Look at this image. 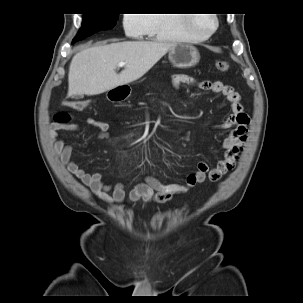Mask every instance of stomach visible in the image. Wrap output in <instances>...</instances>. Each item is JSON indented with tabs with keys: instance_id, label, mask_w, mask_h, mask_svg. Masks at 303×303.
<instances>
[{
	"instance_id": "obj_1",
	"label": "stomach",
	"mask_w": 303,
	"mask_h": 303,
	"mask_svg": "<svg viewBox=\"0 0 303 303\" xmlns=\"http://www.w3.org/2000/svg\"><path fill=\"white\" fill-rule=\"evenodd\" d=\"M170 62L178 68H188L196 65L200 60L198 50L186 43H176L169 50Z\"/></svg>"
}]
</instances>
